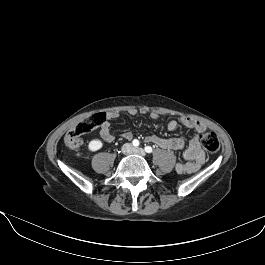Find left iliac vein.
I'll list each match as a JSON object with an SVG mask.
<instances>
[{"instance_id":"obj_1","label":"left iliac vein","mask_w":265,"mask_h":265,"mask_svg":"<svg viewBox=\"0 0 265 265\" xmlns=\"http://www.w3.org/2000/svg\"><path fill=\"white\" fill-rule=\"evenodd\" d=\"M132 153L138 154L140 156H145L146 153L142 148H133Z\"/></svg>"}]
</instances>
